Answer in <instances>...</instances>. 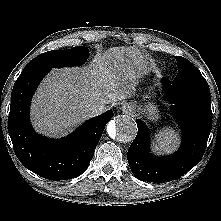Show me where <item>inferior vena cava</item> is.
Listing matches in <instances>:
<instances>
[{"mask_svg":"<svg viewBox=\"0 0 221 221\" xmlns=\"http://www.w3.org/2000/svg\"><path fill=\"white\" fill-rule=\"evenodd\" d=\"M106 110V105L95 103L90 106V113L92 116L100 115Z\"/></svg>","mask_w":221,"mask_h":221,"instance_id":"obj_1","label":"inferior vena cava"}]
</instances>
